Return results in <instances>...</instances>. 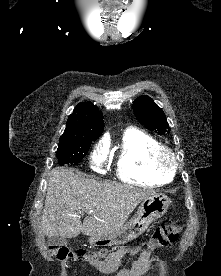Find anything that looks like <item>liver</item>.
<instances>
[{
	"label": "liver",
	"mask_w": 221,
	"mask_h": 276,
	"mask_svg": "<svg viewBox=\"0 0 221 276\" xmlns=\"http://www.w3.org/2000/svg\"><path fill=\"white\" fill-rule=\"evenodd\" d=\"M156 194L151 189L97 181L70 168H54L48 181L41 225L47 237H102L125 225L137 205ZM88 212L83 224L82 212Z\"/></svg>",
	"instance_id": "1"
}]
</instances>
